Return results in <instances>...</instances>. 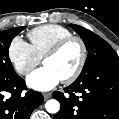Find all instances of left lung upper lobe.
<instances>
[{"label":"left lung upper lobe","instance_id":"obj_1","mask_svg":"<svg viewBox=\"0 0 119 119\" xmlns=\"http://www.w3.org/2000/svg\"><path fill=\"white\" fill-rule=\"evenodd\" d=\"M70 26L80 35L88 50L87 60L77 79L86 78L106 66L119 64L118 55L105 40L79 25L70 24Z\"/></svg>","mask_w":119,"mask_h":119}]
</instances>
